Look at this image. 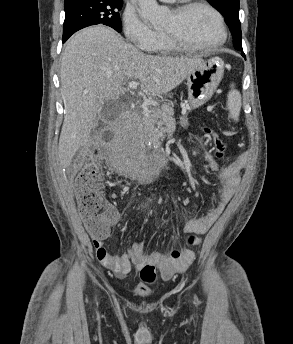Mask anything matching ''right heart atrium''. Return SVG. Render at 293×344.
Returning <instances> with one entry per match:
<instances>
[{
  "label": "right heart atrium",
  "mask_w": 293,
  "mask_h": 344,
  "mask_svg": "<svg viewBox=\"0 0 293 344\" xmlns=\"http://www.w3.org/2000/svg\"><path fill=\"white\" fill-rule=\"evenodd\" d=\"M122 29L128 42L139 51H150L160 38V33L130 7L123 12Z\"/></svg>",
  "instance_id": "1"
}]
</instances>
